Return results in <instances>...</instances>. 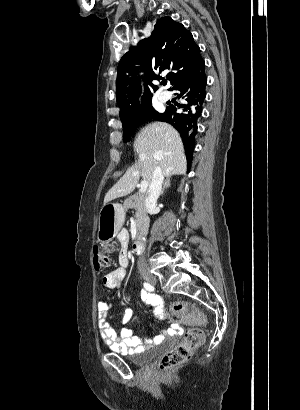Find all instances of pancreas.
Returning a JSON list of instances; mask_svg holds the SVG:
<instances>
[{"mask_svg": "<svg viewBox=\"0 0 300 410\" xmlns=\"http://www.w3.org/2000/svg\"><path fill=\"white\" fill-rule=\"evenodd\" d=\"M124 208L127 209H134L135 210V221L136 226L139 231L141 232L142 228L146 225L148 221L147 213L144 206V195H132L129 196L124 203Z\"/></svg>", "mask_w": 300, "mask_h": 410, "instance_id": "1", "label": "pancreas"}]
</instances>
